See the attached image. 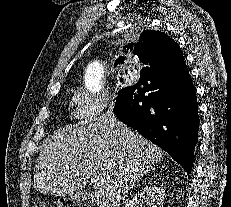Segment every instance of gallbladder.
I'll use <instances>...</instances> for the list:
<instances>
[{"mask_svg":"<svg viewBox=\"0 0 231 207\" xmlns=\"http://www.w3.org/2000/svg\"><path fill=\"white\" fill-rule=\"evenodd\" d=\"M73 199L79 203L84 204L87 207H93L94 202L92 201L91 194L86 191H78L74 194Z\"/></svg>","mask_w":231,"mask_h":207,"instance_id":"bac80fb5","label":"gallbladder"}]
</instances>
